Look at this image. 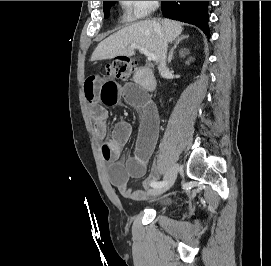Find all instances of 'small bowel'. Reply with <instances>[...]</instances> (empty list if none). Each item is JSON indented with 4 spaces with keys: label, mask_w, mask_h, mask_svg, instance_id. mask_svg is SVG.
<instances>
[{
    "label": "small bowel",
    "mask_w": 271,
    "mask_h": 266,
    "mask_svg": "<svg viewBox=\"0 0 271 266\" xmlns=\"http://www.w3.org/2000/svg\"><path fill=\"white\" fill-rule=\"evenodd\" d=\"M85 98L90 104L96 136L102 139L101 153L110 163L109 178L121 195L129 200H152L151 183L158 178L154 170L144 181V190L134 191L129 186L130 178H140L147 170L158 138L159 117L152 102L133 83L119 84L104 75H91L85 80ZM123 99L127 104L141 112V122L137 134L134 153L125 161L119 160L123 147L132 135V126L119 120L108 138V113L105 106H115Z\"/></svg>",
    "instance_id": "obj_1"
}]
</instances>
